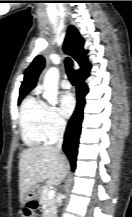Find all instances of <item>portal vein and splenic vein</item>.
Listing matches in <instances>:
<instances>
[{"label":"portal vein and splenic vein","mask_w":132,"mask_h":217,"mask_svg":"<svg viewBox=\"0 0 132 217\" xmlns=\"http://www.w3.org/2000/svg\"><path fill=\"white\" fill-rule=\"evenodd\" d=\"M55 195V191L54 190H50L49 193H48V196L49 197H52Z\"/></svg>","instance_id":"1"}]
</instances>
